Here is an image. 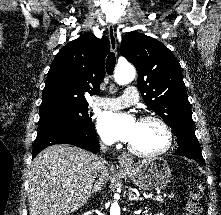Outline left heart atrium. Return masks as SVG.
<instances>
[{
    "instance_id": "39dd6f15",
    "label": "left heart atrium",
    "mask_w": 221,
    "mask_h": 215,
    "mask_svg": "<svg viewBox=\"0 0 221 215\" xmlns=\"http://www.w3.org/2000/svg\"><path fill=\"white\" fill-rule=\"evenodd\" d=\"M138 122L129 114L104 112L98 119V131L107 142H131Z\"/></svg>"
}]
</instances>
